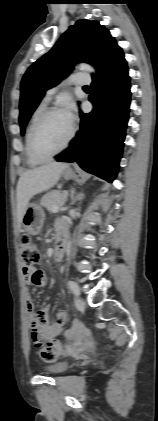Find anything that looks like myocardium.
I'll return each mask as SVG.
<instances>
[{
    "label": "myocardium",
    "mask_w": 158,
    "mask_h": 421,
    "mask_svg": "<svg viewBox=\"0 0 158 421\" xmlns=\"http://www.w3.org/2000/svg\"><path fill=\"white\" fill-rule=\"evenodd\" d=\"M55 113H62V110L57 108V107H51V108L45 109L42 112V114L39 116V118L37 119L35 124L33 125L32 130H31V134H30V149H31L32 155L36 159H38L40 161H43V162L52 159L53 157H55L56 155H58L62 151H64L69 146V144L72 141V139L74 137V134H75V129L72 125L67 139L65 140V142L62 144V146L60 148H58L57 150H55L54 152H52L50 154H43L39 151V149L37 148V145H36V139H37L38 132H39L40 128L42 127V125L44 124V122L47 120V118L49 116H51L52 114H55Z\"/></svg>",
    "instance_id": "obj_1"
}]
</instances>
